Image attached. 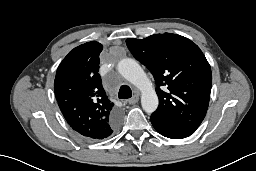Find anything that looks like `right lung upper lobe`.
Segmentation results:
<instances>
[{
  "label": "right lung upper lobe",
  "mask_w": 256,
  "mask_h": 171,
  "mask_svg": "<svg viewBox=\"0 0 256 171\" xmlns=\"http://www.w3.org/2000/svg\"><path fill=\"white\" fill-rule=\"evenodd\" d=\"M102 49L95 41L72 49L60 63L54 81L55 96L68 124L94 140L113 133L109 124L117 113L98 74Z\"/></svg>",
  "instance_id": "right-lung-upper-lobe-1"
}]
</instances>
